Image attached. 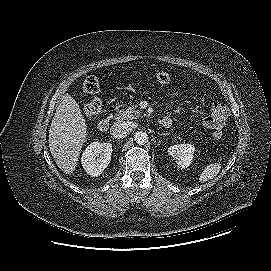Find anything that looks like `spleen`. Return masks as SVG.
Returning <instances> with one entry per match:
<instances>
[{
    "label": "spleen",
    "instance_id": "spleen-1",
    "mask_svg": "<svg viewBox=\"0 0 271 271\" xmlns=\"http://www.w3.org/2000/svg\"><path fill=\"white\" fill-rule=\"evenodd\" d=\"M221 164L220 163H212L205 167V169L201 172L198 181L200 183H204L206 181L211 180L220 172Z\"/></svg>",
    "mask_w": 271,
    "mask_h": 271
}]
</instances>
